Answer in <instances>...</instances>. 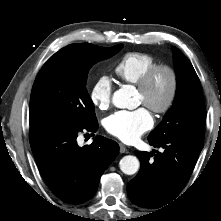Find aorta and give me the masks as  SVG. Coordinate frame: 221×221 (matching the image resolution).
<instances>
[{
	"label": "aorta",
	"mask_w": 221,
	"mask_h": 221,
	"mask_svg": "<svg viewBox=\"0 0 221 221\" xmlns=\"http://www.w3.org/2000/svg\"><path fill=\"white\" fill-rule=\"evenodd\" d=\"M134 92L129 86H123L115 91L112 96V103L117 108H128L131 106V98ZM120 169L124 174L133 175L139 167L140 162L136 156L127 155L120 160Z\"/></svg>",
	"instance_id": "762f6f07"
}]
</instances>
